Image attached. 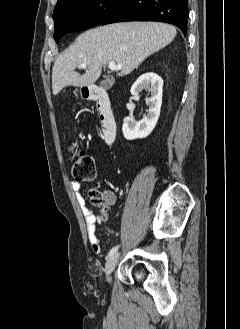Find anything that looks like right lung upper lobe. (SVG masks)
Listing matches in <instances>:
<instances>
[{"mask_svg": "<svg viewBox=\"0 0 240 329\" xmlns=\"http://www.w3.org/2000/svg\"><path fill=\"white\" fill-rule=\"evenodd\" d=\"M68 1H70V0H58L57 4H56V6H55V9L61 7L63 4H65V3L68 2ZM55 9H54V10H55Z\"/></svg>", "mask_w": 240, "mask_h": 329, "instance_id": "1", "label": "right lung upper lobe"}]
</instances>
